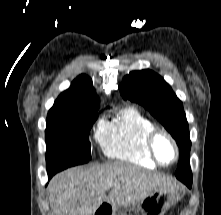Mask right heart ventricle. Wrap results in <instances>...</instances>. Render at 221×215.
<instances>
[{
  "instance_id": "1",
  "label": "right heart ventricle",
  "mask_w": 221,
  "mask_h": 215,
  "mask_svg": "<svg viewBox=\"0 0 221 215\" xmlns=\"http://www.w3.org/2000/svg\"><path fill=\"white\" fill-rule=\"evenodd\" d=\"M153 129L152 120L138 107L129 105L114 120L100 124L96 139L109 158L153 168L155 162L146 147L147 136Z\"/></svg>"
}]
</instances>
